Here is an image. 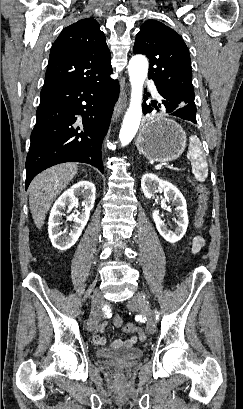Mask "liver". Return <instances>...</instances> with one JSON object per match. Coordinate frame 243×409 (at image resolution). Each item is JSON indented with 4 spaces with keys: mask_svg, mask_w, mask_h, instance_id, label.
Masks as SVG:
<instances>
[{
    "mask_svg": "<svg viewBox=\"0 0 243 409\" xmlns=\"http://www.w3.org/2000/svg\"><path fill=\"white\" fill-rule=\"evenodd\" d=\"M77 170V164L64 163L43 171L32 180L29 186V206L38 229L43 226L54 199L74 178Z\"/></svg>",
    "mask_w": 243,
    "mask_h": 409,
    "instance_id": "liver-1",
    "label": "liver"
}]
</instances>
